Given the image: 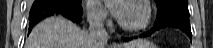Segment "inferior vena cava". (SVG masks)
<instances>
[{"label": "inferior vena cava", "mask_w": 213, "mask_h": 48, "mask_svg": "<svg viewBox=\"0 0 213 48\" xmlns=\"http://www.w3.org/2000/svg\"><path fill=\"white\" fill-rule=\"evenodd\" d=\"M88 37L93 48H103L107 43L109 36L104 28L102 13H94L89 19Z\"/></svg>", "instance_id": "602c4592"}]
</instances>
